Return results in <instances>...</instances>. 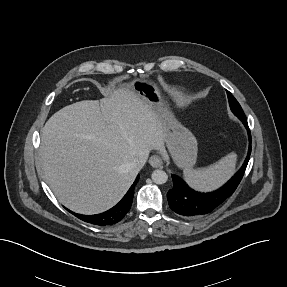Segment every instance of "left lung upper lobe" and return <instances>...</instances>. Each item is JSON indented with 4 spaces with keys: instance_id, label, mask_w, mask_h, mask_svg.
<instances>
[{
    "instance_id": "left-lung-upper-lobe-1",
    "label": "left lung upper lobe",
    "mask_w": 287,
    "mask_h": 287,
    "mask_svg": "<svg viewBox=\"0 0 287 287\" xmlns=\"http://www.w3.org/2000/svg\"><path fill=\"white\" fill-rule=\"evenodd\" d=\"M227 96H228L229 105H230V108H231L232 112L238 117H245V114H244L240 104L232 96V94L229 91H227Z\"/></svg>"
}]
</instances>
